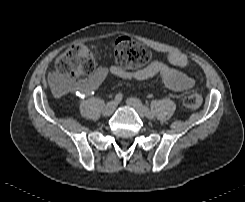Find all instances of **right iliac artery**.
Returning <instances> with one entry per match:
<instances>
[{"mask_svg": "<svg viewBox=\"0 0 245 202\" xmlns=\"http://www.w3.org/2000/svg\"><path fill=\"white\" fill-rule=\"evenodd\" d=\"M122 98H123V95H122V93H118V94H116V96H115V102L116 103H119L121 100H122Z\"/></svg>", "mask_w": 245, "mask_h": 202, "instance_id": "right-iliac-artery-1", "label": "right iliac artery"}]
</instances>
